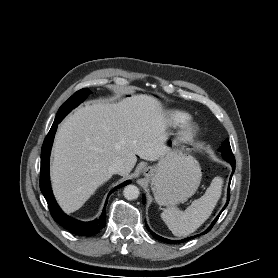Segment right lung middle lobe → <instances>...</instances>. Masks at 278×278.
<instances>
[{
	"label": "right lung middle lobe",
	"instance_id": "dd1d6c3e",
	"mask_svg": "<svg viewBox=\"0 0 278 278\" xmlns=\"http://www.w3.org/2000/svg\"><path fill=\"white\" fill-rule=\"evenodd\" d=\"M90 93L91 92L88 88H84L76 92L59 108L55 119L65 117L73 108L83 102Z\"/></svg>",
	"mask_w": 278,
	"mask_h": 278
}]
</instances>
